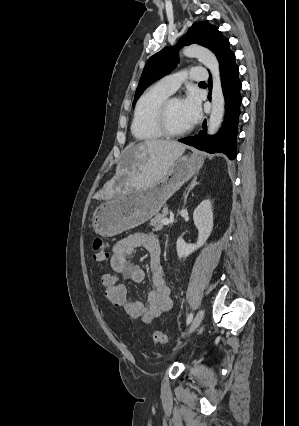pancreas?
I'll return each instance as SVG.
<instances>
[{"instance_id":"1","label":"pancreas","mask_w":299,"mask_h":426,"mask_svg":"<svg viewBox=\"0 0 299 426\" xmlns=\"http://www.w3.org/2000/svg\"><path fill=\"white\" fill-rule=\"evenodd\" d=\"M168 215L167 207H164L162 213L157 214L151 221V225L153 226L154 231L162 230L164 227L163 219Z\"/></svg>"}]
</instances>
